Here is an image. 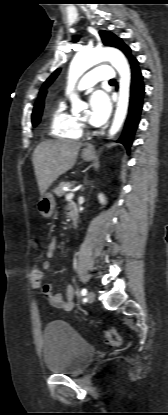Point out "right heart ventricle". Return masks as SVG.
<instances>
[{
    "label": "right heart ventricle",
    "instance_id": "right-heart-ventricle-1",
    "mask_svg": "<svg viewBox=\"0 0 168 415\" xmlns=\"http://www.w3.org/2000/svg\"><path fill=\"white\" fill-rule=\"evenodd\" d=\"M50 134L55 138L66 139H79L82 135L78 119L68 111L64 101H60L51 114Z\"/></svg>",
    "mask_w": 168,
    "mask_h": 415
}]
</instances>
